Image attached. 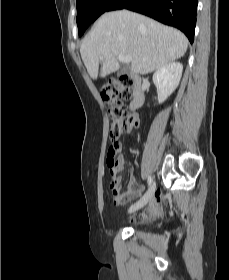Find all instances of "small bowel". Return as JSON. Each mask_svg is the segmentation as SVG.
<instances>
[{
  "label": "small bowel",
  "instance_id": "small-bowel-1",
  "mask_svg": "<svg viewBox=\"0 0 229 280\" xmlns=\"http://www.w3.org/2000/svg\"><path fill=\"white\" fill-rule=\"evenodd\" d=\"M123 168L124 158L123 156H119L113 169H110V191L112 195V201L116 206H123L127 202L139 197L144 188L143 185L136 184L133 176L130 175L127 180L126 190L121 192L119 188V182L120 173L122 172ZM163 211L164 209L161 202V194L160 192L155 193L154 191L148 201V205L142 208L139 214L132 216V221L143 222L154 217L161 216Z\"/></svg>",
  "mask_w": 229,
  "mask_h": 280
}]
</instances>
